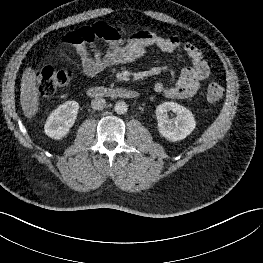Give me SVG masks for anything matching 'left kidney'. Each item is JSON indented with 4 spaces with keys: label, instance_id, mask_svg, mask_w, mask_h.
<instances>
[{
    "label": "left kidney",
    "instance_id": "obj_1",
    "mask_svg": "<svg viewBox=\"0 0 263 263\" xmlns=\"http://www.w3.org/2000/svg\"><path fill=\"white\" fill-rule=\"evenodd\" d=\"M170 111L176 114V118H169ZM156 117L159 133L172 142L186 138L196 126L192 112L176 102H164L158 105Z\"/></svg>",
    "mask_w": 263,
    "mask_h": 263
}]
</instances>
